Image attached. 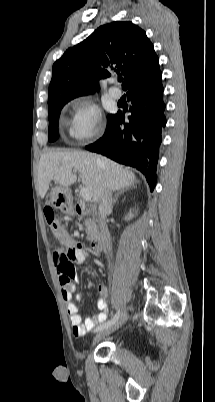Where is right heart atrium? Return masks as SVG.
Returning a JSON list of instances; mask_svg holds the SVG:
<instances>
[{
    "label": "right heart atrium",
    "mask_w": 215,
    "mask_h": 402,
    "mask_svg": "<svg viewBox=\"0 0 215 402\" xmlns=\"http://www.w3.org/2000/svg\"><path fill=\"white\" fill-rule=\"evenodd\" d=\"M102 114L97 104L87 98H78L71 103L69 134L71 138L84 144L94 139L100 132Z\"/></svg>",
    "instance_id": "obj_1"
}]
</instances>
